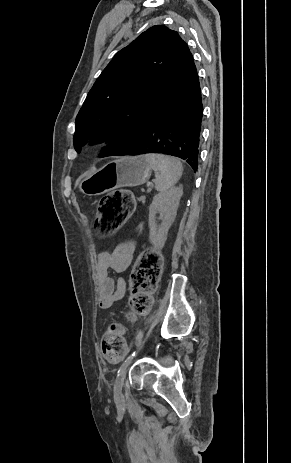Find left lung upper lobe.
Listing matches in <instances>:
<instances>
[{"label":"left lung upper lobe","instance_id":"1","mask_svg":"<svg viewBox=\"0 0 291 463\" xmlns=\"http://www.w3.org/2000/svg\"><path fill=\"white\" fill-rule=\"evenodd\" d=\"M196 73L188 45L176 31L149 28L113 57L89 91L76 117V151L96 134H110L113 142L101 156L129 151Z\"/></svg>","mask_w":291,"mask_h":463}]
</instances>
